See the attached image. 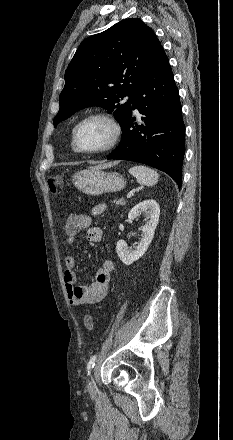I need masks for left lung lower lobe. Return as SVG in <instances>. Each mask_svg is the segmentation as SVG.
Masks as SVG:
<instances>
[{
  "label": "left lung lower lobe",
  "mask_w": 233,
  "mask_h": 440,
  "mask_svg": "<svg viewBox=\"0 0 233 440\" xmlns=\"http://www.w3.org/2000/svg\"><path fill=\"white\" fill-rule=\"evenodd\" d=\"M135 108L144 115L142 125L134 123ZM184 154L185 125L179 92L163 51L135 92L130 115L122 128V140L107 159L147 164L166 172L181 187Z\"/></svg>",
  "instance_id": "0a47b994"
}]
</instances>
